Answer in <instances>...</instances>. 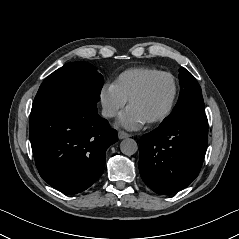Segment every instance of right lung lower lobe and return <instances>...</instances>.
Returning <instances> with one entry per match:
<instances>
[{"instance_id":"obj_1","label":"right lung lower lobe","mask_w":239,"mask_h":239,"mask_svg":"<svg viewBox=\"0 0 239 239\" xmlns=\"http://www.w3.org/2000/svg\"><path fill=\"white\" fill-rule=\"evenodd\" d=\"M30 141L40 176L57 190L77 194L102 175L117 132L97 112V101L58 97L30 116Z\"/></svg>"}]
</instances>
